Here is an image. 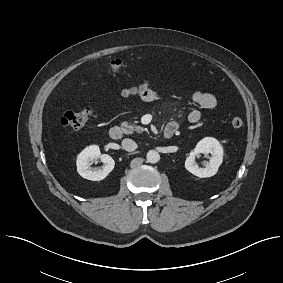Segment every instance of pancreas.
<instances>
[{
  "label": "pancreas",
  "instance_id": "1",
  "mask_svg": "<svg viewBox=\"0 0 283 283\" xmlns=\"http://www.w3.org/2000/svg\"><path fill=\"white\" fill-rule=\"evenodd\" d=\"M121 128H122L123 133L125 134H132L134 131L138 133L145 131L143 127L135 126L134 124L129 123L127 121H124L121 123Z\"/></svg>",
  "mask_w": 283,
  "mask_h": 283
}]
</instances>
